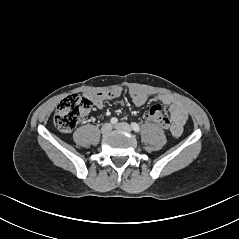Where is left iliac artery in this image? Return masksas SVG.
<instances>
[{"instance_id": "1", "label": "left iliac artery", "mask_w": 239, "mask_h": 239, "mask_svg": "<svg viewBox=\"0 0 239 239\" xmlns=\"http://www.w3.org/2000/svg\"><path fill=\"white\" fill-rule=\"evenodd\" d=\"M131 127L135 132H139L140 131V127L137 123L133 122L131 123Z\"/></svg>"}]
</instances>
